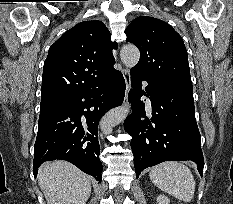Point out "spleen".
<instances>
[{
  "label": "spleen",
  "mask_w": 233,
  "mask_h": 204,
  "mask_svg": "<svg viewBox=\"0 0 233 204\" xmlns=\"http://www.w3.org/2000/svg\"><path fill=\"white\" fill-rule=\"evenodd\" d=\"M151 181L162 191L180 201L190 202L195 193V180L191 170L183 163L167 161L150 170Z\"/></svg>",
  "instance_id": "1"
}]
</instances>
